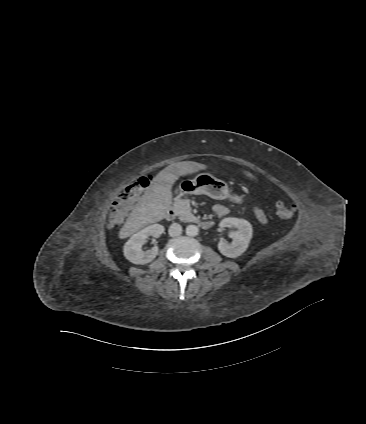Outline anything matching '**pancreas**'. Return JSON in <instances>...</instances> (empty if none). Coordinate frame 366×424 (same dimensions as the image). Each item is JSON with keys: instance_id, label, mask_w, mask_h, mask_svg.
Returning a JSON list of instances; mask_svg holds the SVG:
<instances>
[{"instance_id": "cf45deb5", "label": "pancreas", "mask_w": 366, "mask_h": 424, "mask_svg": "<svg viewBox=\"0 0 366 424\" xmlns=\"http://www.w3.org/2000/svg\"><path fill=\"white\" fill-rule=\"evenodd\" d=\"M176 210L178 212L179 219L184 222H195L196 217L191 212L190 200L182 199L176 201Z\"/></svg>"}]
</instances>
